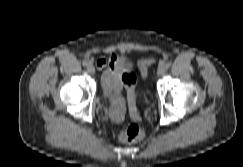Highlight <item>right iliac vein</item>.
Segmentation results:
<instances>
[{
    "label": "right iliac vein",
    "mask_w": 243,
    "mask_h": 167,
    "mask_svg": "<svg viewBox=\"0 0 243 167\" xmlns=\"http://www.w3.org/2000/svg\"><path fill=\"white\" fill-rule=\"evenodd\" d=\"M87 71H88L90 74H94V73H95V68H94V66H92V65H88V66H87Z\"/></svg>",
    "instance_id": "63e3f726"
}]
</instances>
